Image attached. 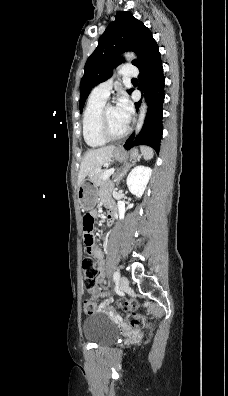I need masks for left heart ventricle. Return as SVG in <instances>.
<instances>
[{
    "label": "left heart ventricle",
    "instance_id": "b2bd125f",
    "mask_svg": "<svg viewBox=\"0 0 228 396\" xmlns=\"http://www.w3.org/2000/svg\"><path fill=\"white\" fill-rule=\"evenodd\" d=\"M107 124L113 134L121 133L127 126L120 118L115 106H110L107 109Z\"/></svg>",
    "mask_w": 228,
    "mask_h": 396
}]
</instances>
